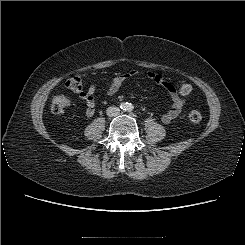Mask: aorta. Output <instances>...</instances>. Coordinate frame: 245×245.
Listing matches in <instances>:
<instances>
[{"mask_svg":"<svg viewBox=\"0 0 245 245\" xmlns=\"http://www.w3.org/2000/svg\"><path fill=\"white\" fill-rule=\"evenodd\" d=\"M133 109V105L131 103H126L124 105V110L131 111Z\"/></svg>","mask_w":245,"mask_h":245,"instance_id":"obj_1","label":"aorta"}]
</instances>
